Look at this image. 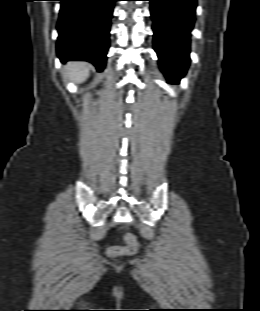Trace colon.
I'll use <instances>...</instances> for the list:
<instances>
[{
  "mask_svg": "<svg viewBox=\"0 0 260 311\" xmlns=\"http://www.w3.org/2000/svg\"><path fill=\"white\" fill-rule=\"evenodd\" d=\"M125 242L126 246H115L111 247L108 250V253L111 256H118V255H131L134 254L138 250V240L136 237L130 233L125 235Z\"/></svg>",
  "mask_w": 260,
  "mask_h": 311,
  "instance_id": "colon-1",
  "label": "colon"
}]
</instances>
